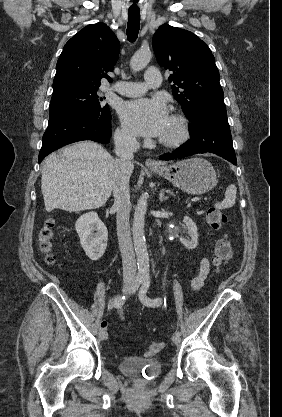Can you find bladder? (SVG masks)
<instances>
[{
  "mask_svg": "<svg viewBox=\"0 0 282 417\" xmlns=\"http://www.w3.org/2000/svg\"><path fill=\"white\" fill-rule=\"evenodd\" d=\"M119 369L135 383L146 385L160 374L161 364L156 359L127 356L121 360Z\"/></svg>",
  "mask_w": 282,
  "mask_h": 417,
  "instance_id": "31cf9c89",
  "label": "bladder"
}]
</instances>
